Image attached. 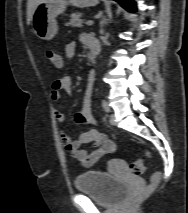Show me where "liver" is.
<instances>
[{"mask_svg": "<svg viewBox=\"0 0 188 213\" xmlns=\"http://www.w3.org/2000/svg\"><path fill=\"white\" fill-rule=\"evenodd\" d=\"M42 0H28L27 1V23L28 25L32 21L33 13L36 8V6L41 2Z\"/></svg>", "mask_w": 188, "mask_h": 213, "instance_id": "obj_1", "label": "liver"}]
</instances>
